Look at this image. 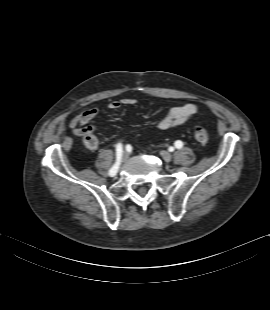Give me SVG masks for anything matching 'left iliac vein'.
Here are the masks:
<instances>
[{"instance_id":"left-iliac-vein-1","label":"left iliac vein","mask_w":270,"mask_h":310,"mask_svg":"<svg viewBox=\"0 0 270 310\" xmlns=\"http://www.w3.org/2000/svg\"><path fill=\"white\" fill-rule=\"evenodd\" d=\"M161 156L164 159V161H166V162H170L172 159L171 154L167 151H161Z\"/></svg>"}]
</instances>
